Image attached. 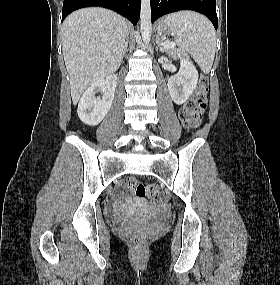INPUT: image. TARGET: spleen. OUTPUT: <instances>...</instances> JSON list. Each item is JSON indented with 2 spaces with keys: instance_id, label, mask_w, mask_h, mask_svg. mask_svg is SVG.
<instances>
[{
  "instance_id": "3e777b00",
  "label": "spleen",
  "mask_w": 280,
  "mask_h": 285,
  "mask_svg": "<svg viewBox=\"0 0 280 285\" xmlns=\"http://www.w3.org/2000/svg\"><path fill=\"white\" fill-rule=\"evenodd\" d=\"M178 45L187 51L204 73H209L216 51V33L204 16L181 11L165 17Z\"/></svg>"
}]
</instances>
